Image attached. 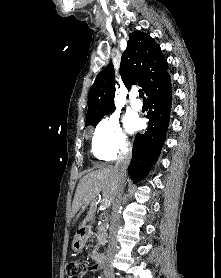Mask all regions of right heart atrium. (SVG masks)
Here are the masks:
<instances>
[{"instance_id":"d8ad5b80","label":"right heart atrium","mask_w":221,"mask_h":278,"mask_svg":"<svg viewBox=\"0 0 221 278\" xmlns=\"http://www.w3.org/2000/svg\"><path fill=\"white\" fill-rule=\"evenodd\" d=\"M131 143L120 125L118 116L112 114L102 119L93 131L92 152L102 161H112L128 153Z\"/></svg>"}]
</instances>
